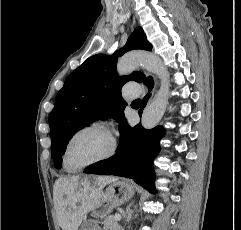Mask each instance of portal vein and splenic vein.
I'll return each mask as SVG.
<instances>
[{"instance_id": "portal-vein-and-splenic-vein-1", "label": "portal vein and splenic vein", "mask_w": 241, "mask_h": 230, "mask_svg": "<svg viewBox=\"0 0 241 230\" xmlns=\"http://www.w3.org/2000/svg\"><path fill=\"white\" fill-rule=\"evenodd\" d=\"M114 218H115V220L120 221L121 220V215L115 214Z\"/></svg>"}]
</instances>
